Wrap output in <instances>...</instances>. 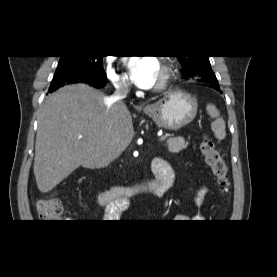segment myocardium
<instances>
[{"label":"myocardium","mask_w":277,"mask_h":277,"mask_svg":"<svg viewBox=\"0 0 277 277\" xmlns=\"http://www.w3.org/2000/svg\"><path fill=\"white\" fill-rule=\"evenodd\" d=\"M161 71L162 75L160 80L157 82V84L154 87V91H161L167 88L169 85L171 78H172V69L167 64L161 65Z\"/></svg>","instance_id":"myocardium-1"}]
</instances>
